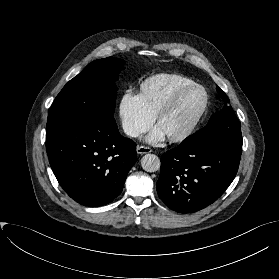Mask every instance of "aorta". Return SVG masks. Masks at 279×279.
<instances>
[{
    "instance_id": "762f6f07",
    "label": "aorta",
    "mask_w": 279,
    "mask_h": 279,
    "mask_svg": "<svg viewBox=\"0 0 279 279\" xmlns=\"http://www.w3.org/2000/svg\"><path fill=\"white\" fill-rule=\"evenodd\" d=\"M160 164V159L155 154H146L141 159V166L147 172L159 170Z\"/></svg>"
}]
</instances>
